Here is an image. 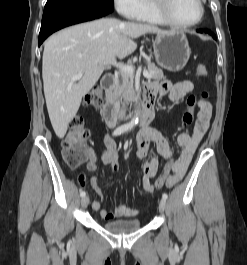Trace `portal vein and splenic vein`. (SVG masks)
I'll return each instance as SVG.
<instances>
[{
	"mask_svg": "<svg viewBox=\"0 0 247 265\" xmlns=\"http://www.w3.org/2000/svg\"><path fill=\"white\" fill-rule=\"evenodd\" d=\"M111 64L116 66V67H118V68H120L124 73L132 74L134 72V69H133V67L131 65H122V64H118L116 62H112ZM82 75H83L82 72L77 74V75H75L73 77V80H79L82 77ZM144 76H146L147 78L151 77L149 72L146 71V70L144 71Z\"/></svg>",
	"mask_w": 247,
	"mask_h": 265,
	"instance_id": "18ae733b",
	"label": "portal vein and splenic vein"
}]
</instances>
